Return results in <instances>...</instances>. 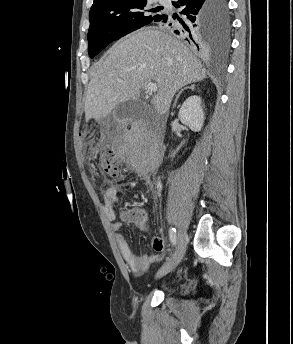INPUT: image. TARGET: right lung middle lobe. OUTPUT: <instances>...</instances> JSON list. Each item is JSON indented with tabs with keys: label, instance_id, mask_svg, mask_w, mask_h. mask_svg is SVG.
<instances>
[{
	"label": "right lung middle lobe",
	"instance_id": "1",
	"mask_svg": "<svg viewBox=\"0 0 293 344\" xmlns=\"http://www.w3.org/2000/svg\"><path fill=\"white\" fill-rule=\"evenodd\" d=\"M146 5L147 0H119L91 10L88 30L89 56L93 58L112 41L157 21L161 15H148ZM150 11L157 12L156 9ZM213 20L219 32L225 34L229 27L226 0H216Z\"/></svg>",
	"mask_w": 293,
	"mask_h": 344
}]
</instances>
